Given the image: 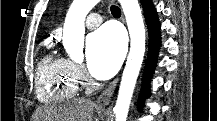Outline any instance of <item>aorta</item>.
<instances>
[{"label": "aorta", "instance_id": "762f6f07", "mask_svg": "<svg viewBox=\"0 0 217 121\" xmlns=\"http://www.w3.org/2000/svg\"><path fill=\"white\" fill-rule=\"evenodd\" d=\"M99 0H73L63 28V45L71 59H83L85 18ZM130 34V52L123 71L114 112L115 121H126L145 53V27L138 0H119Z\"/></svg>", "mask_w": 217, "mask_h": 121}]
</instances>
